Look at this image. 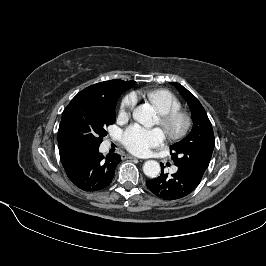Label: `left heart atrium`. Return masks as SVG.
<instances>
[{"label":"left heart atrium","instance_id":"1","mask_svg":"<svg viewBox=\"0 0 266 266\" xmlns=\"http://www.w3.org/2000/svg\"><path fill=\"white\" fill-rule=\"evenodd\" d=\"M165 134L160 128L147 129L139 124H132L122 134V143L133 154L145 156L151 149L161 146Z\"/></svg>","mask_w":266,"mask_h":266}]
</instances>
